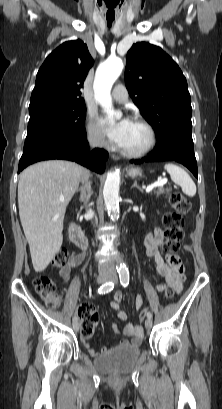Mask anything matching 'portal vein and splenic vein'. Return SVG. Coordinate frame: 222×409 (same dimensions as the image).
<instances>
[{
  "mask_svg": "<svg viewBox=\"0 0 222 409\" xmlns=\"http://www.w3.org/2000/svg\"><path fill=\"white\" fill-rule=\"evenodd\" d=\"M166 183H167V179H158L156 182H154L153 184L149 185V186L146 188V192H150V191H152L155 187L163 186V185L166 184Z\"/></svg>",
  "mask_w": 222,
  "mask_h": 409,
  "instance_id": "obj_1",
  "label": "portal vein and splenic vein"
}]
</instances>
